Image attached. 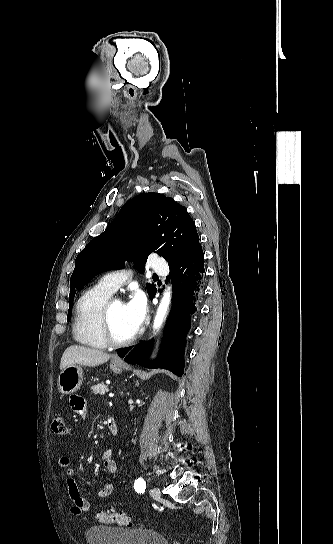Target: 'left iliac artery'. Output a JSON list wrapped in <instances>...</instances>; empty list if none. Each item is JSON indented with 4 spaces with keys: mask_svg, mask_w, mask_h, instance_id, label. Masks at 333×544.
I'll use <instances>...</instances> for the list:
<instances>
[{
    "mask_svg": "<svg viewBox=\"0 0 333 544\" xmlns=\"http://www.w3.org/2000/svg\"><path fill=\"white\" fill-rule=\"evenodd\" d=\"M134 489L138 493H143L146 489V483L143 478L139 477L134 482Z\"/></svg>",
    "mask_w": 333,
    "mask_h": 544,
    "instance_id": "obj_1",
    "label": "left iliac artery"
}]
</instances>
